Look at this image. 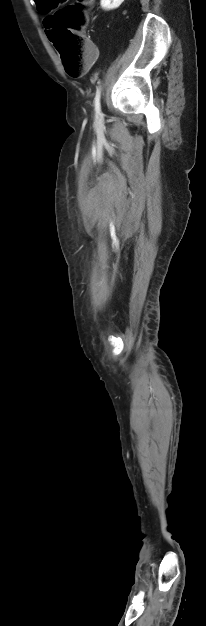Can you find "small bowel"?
Segmentation results:
<instances>
[{"mask_svg":"<svg viewBox=\"0 0 206 626\" xmlns=\"http://www.w3.org/2000/svg\"><path fill=\"white\" fill-rule=\"evenodd\" d=\"M41 2H42V0H37V5H38V7H39V8H40V6H41ZM48 18H49V17H46V18L44 19V24H45L46 34H47L48 38L50 39V30H51V28H50V27H49V25L47 24V20H48Z\"/></svg>","mask_w":206,"mask_h":626,"instance_id":"c3829d8e","label":"small bowel"}]
</instances>
